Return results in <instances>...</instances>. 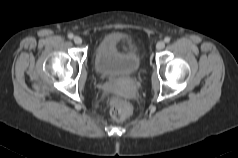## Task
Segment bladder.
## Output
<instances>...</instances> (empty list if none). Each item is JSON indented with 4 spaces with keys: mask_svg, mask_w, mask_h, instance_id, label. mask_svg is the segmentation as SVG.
Returning a JSON list of instances; mask_svg holds the SVG:
<instances>
[{
    "mask_svg": "<svg viewBox=\"0 0 238 158\" xmlns=\"http://www.w3.org/2000/svg\"><path fill=\"white\" fill-rule=\"evenodd\" d=\"M122 35L110 33L101 38L94 53V65L98 73L106 77L130 75L137 72L141 58L132 41L121 45Z\"/></svg>",
    "mask_w": 238,
    "mask_h": 158,
    "instance_id": "bladder-1",
    "label": "bladder"
}]
</instances>
